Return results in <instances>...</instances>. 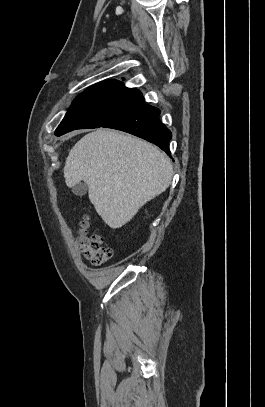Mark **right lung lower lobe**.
Segmentation results:
<instances>
[{"label":"right lung lower lobe","mask_w":265,"mask_h":407,"mask_svg":"<svg viewBox=\"0 0 265 407\" xmlns=\"http://www.w3.org/2000/svg\"><path fill=\"white\" fill-rule=\"evenodd\" d=\"M160 110L143 103L129 113L109 122L103 127L128 132L156 144L169 156L171 131L159 120Z\"/></svg>","instance_id":"right-lung-lower-lobe-1"}]
</instances>
